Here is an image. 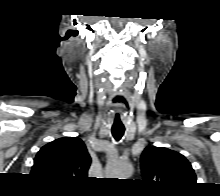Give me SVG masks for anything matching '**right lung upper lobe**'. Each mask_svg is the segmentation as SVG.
<instances>
[{
	"label": "right lung upper lobe",
	"instance_id": "1",
	"mask_svg": "<svg viewBox=\"0 0 220 196\" xmlns=\"http://www.w3.org/2000/svg\"><path fill=\"white\" fill-rule=\"evenodd\" d=\"M90 164L84 142L78 137H64L39 150L31 174L50 184L75 186L86 179Z\"/></svg>",
	"mask_w": 220,
	"mask_h": 196
}]
</instances>
